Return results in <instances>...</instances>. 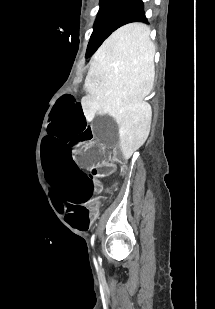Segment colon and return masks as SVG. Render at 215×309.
<instances>
[{
  "label": "colon",
  "mask_w": 215,
  "mask_h": 309,
  "mask_svg": "<svg viewBox=\"0 0 215 309\" xmlns=\"http://www.w3.org/2000/svg\"><path fill=\"white\" fill-rule=\"evenodd\" d=\"M103 156H105V152H103ZM97 167L99 168V172L103 174L110 171V166L107 164V161L104 158L100 163L97 164Z\"/></svg>",
  "instance_id": "colon-1"
}]
</instances>
